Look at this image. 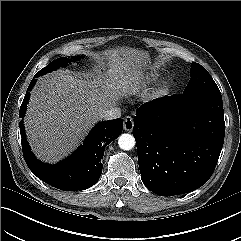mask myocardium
Segmentation results:
<instances>
[{
  "label": "myocardium",
  "instance_id": "f54148a6",
  "mask_svg": "<svg viewBox=\"0 0 241 241\" xmlns=\"http://www.w3.org/2000/svg\"><path fill=\"white\" fill-rule=\"evenodd\" d=\"M167 84L166 83H164L163 85H161V87H160V92H165L166 90H167Z\"/></svg>",
  "mask_w": 241,
  "mask_h": 241
}]
</instances>
